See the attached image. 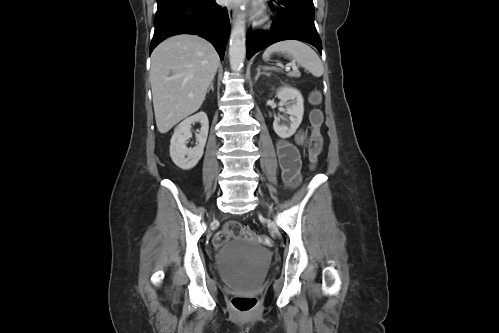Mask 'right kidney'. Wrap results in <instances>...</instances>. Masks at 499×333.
<instances>
[{"label": "right kidney", "mask_w": 499, "mask_h": 333, "mask_svg": "<svg viewBox=\"0 0 499 333\" xmlns=\"http://www.w3.org/2000/svg\"><path fill=\"white\" fill-rule=\"evenodd\" d=\"M195 122L201 123L200 132L196 135L198 144L188 149L186 141L192 137L191 125ZM208 130V117L204 112L188 117L177 126L171 138L170 156L179 168L189 170L197 165L204 153Z\"/></svg>", "instance_id": "ca27d5eb"}]
</instances>
